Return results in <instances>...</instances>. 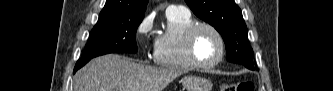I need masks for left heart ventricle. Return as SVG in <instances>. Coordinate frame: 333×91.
<instances>
[{
	"mask_svg": "<svg viewBox=\"0 0 333 91\" xmlns=\"http://www.w3.org/2000/svg\"><path fill=\"white\" fill-rule=\"evenodd\" d=\"M220 44L213 32L201 29L195 38V54L202 63H210L217 59Z\"/></svg>",
	"mask_w": 333,
	"mask_h": 91,
	"instance_id": "b2bd125f",
	"label": "left heart ventricle"
}]
</instances>
